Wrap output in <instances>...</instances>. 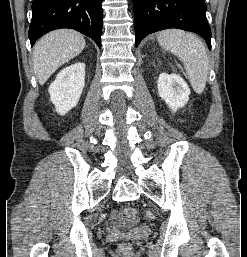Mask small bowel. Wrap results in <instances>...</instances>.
Masks as SVG:
<instances>
[{
    "mask_svg": "<svg viewBox=\"0 0 247 257\" xmlns=\"http://www.w3.org/2000/svg\"><path fill=\"white\" fill-rule=\"evenodd\" d=\"M111 219H112V221H113L116 225H119V226H124V225H125V222H124L123 218H122L121 215H120L119 213H117V212L112 213Z\"/></svg>",
    "mask_w": 247,
    "mask_h": 257,
    "instance_id": "small-bowel-1",
    "label": "small bowel"
}]
</instances>
